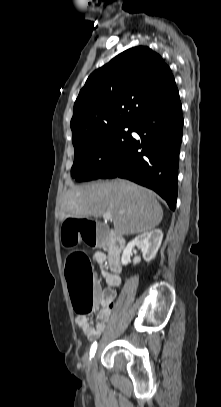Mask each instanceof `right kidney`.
<instances>
[{"instance_id": "right-kidney-1", "label": "right kidney", "mask_w": 221, "mask_h": 407, "mask_svg": "<svg viewBox=\"0 0 221 407\" xmlns=\"http://www.w3.org/2000/svg\"><path fill=\"white\" fill-rule=\"evenodd\" d=\"M163 239V233L160 229H154L150 232L138 235L133 241L129 242L123 250L121 263L127 265L130 262L133 247L141 248L143 258L146 262H150L157 254ZM139 262V259H136Z\"/></svg>"}]
</instances>
